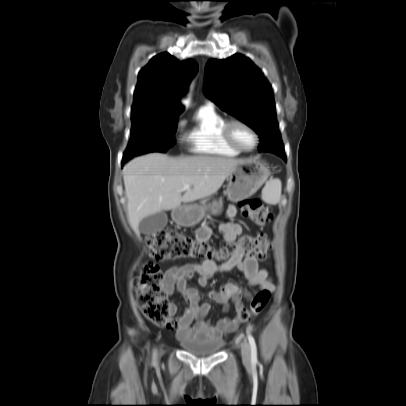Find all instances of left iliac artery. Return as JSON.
Wrapping results in <instances>:
<instances>
[{"label":"left iliac artery","mask_w":406,"mask_h":406,"mask_svg":"<svg viewBox=\"0 0 406 406\" xmlns=\"http://www.w3.org/2000/svg\"><path fill=\"white\" fill-rule=\"evenodd\" d=\"M247 338L251 348V360L253 363H257V347L255 339L250 333H247Z\"/></svg>","instance_id":"44dca946"}]
</instances>
